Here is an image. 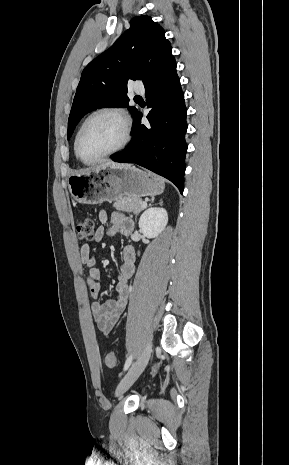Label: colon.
<instances>
[{"label": "colon", "instance_id": "1", "mask_svg": "<svg viewBox=\"0 0 289 465\" xmlns=\"http://www.w3.org/2000/svg\"><path fill=\"white\" fill-rule=\"evenodd\" d=\"M77 235L80 239L91 241L95 237V223L92 217L86 216L79 220L76 226ZM106 364L110 368H114L118 364L117 357L114 353L110 352L105 358Z\"/></svg>", "mask_w": 289, "mask_h": 465}]
</instances>
